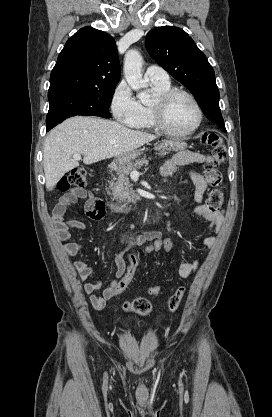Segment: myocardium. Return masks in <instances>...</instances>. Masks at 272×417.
<instances>
[{"mask_svg":"<svg viewBox=\"0 0 272 417\" xmlns=\"http://www.w3.org/2000/svg\"><path fill=\"white\" fill-rule=\"evenodd\" d=\"M177 96L187 97L194 105L197 113V120L194 126L184 132H177L172 130L165 121L166 110L171 101ZM151 115L155 127L161 132L173 137H187L195 133L202 124L203 111L198 100L193 94L184 89L170 88L169 90L159 94L154 103L151 105Z\"/></svg>","mask_w":272,"mask_h":417,"instance_id":"f54148a6","label":"myocardium"}]
</instances>
